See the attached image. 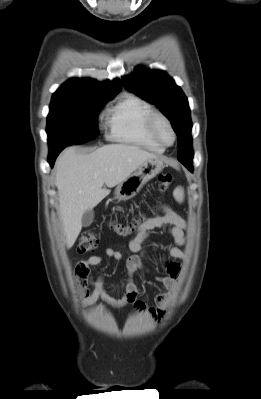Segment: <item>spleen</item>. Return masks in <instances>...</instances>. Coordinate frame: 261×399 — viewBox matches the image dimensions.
<instances>
[{"label":"spleen","instance_id":"obj_1","mask_svg":"<svg viewBox=\"0 0 261 399\" xmlns=\"http://www.w3.org/2000/svg\"><path fill=\"white\" fill-rule=\"evenodd\" d=\"M174 197L178 202H183L184 200V190L181 187H177L174 191Z\"/></svg>","mask_w":261,"mask_h":399}]
</instances>
